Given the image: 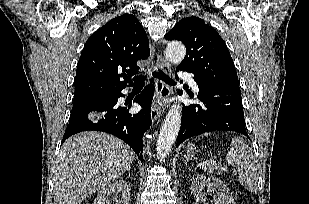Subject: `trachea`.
Instances as JSON below:
<instances>
[{"instance_id":"obj_1","label":"trachea","mask_w":309,"mask_h":204,"mask_svg":"<svg viewBox=\"0 0 309 204\" xmlns=\"http://www.w3.org/2000/svg\"><path fill=\"white\" fill-rule=\"evenodd\" d=\"M154 77L163 80L167 84H175V81L169 78L166 74H164L162 71H155L153 73ZM135 85H144L145 83V76L138 75L134 77Z\"/></svg>"}]
</instances>
